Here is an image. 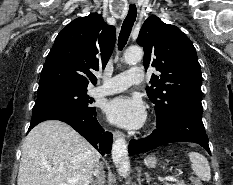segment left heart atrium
<instances>
[{"label": "left heart atrium", "instance_id": "left-heart-atrium-1", "mask_svg": "<svg viewBox=\"0 0 233 185\" xmlns=\"http://www.w3.org/2000/svg\"><path fill=\"white\" fill-rule=\"evenodd\" d=\"M104 112L110 122L127 129L139 128L146 118L145 106L137 96L112 98L106 102Z\"/></svg>", "mask_w": 233, "mask_h": 185}]
</instances>
